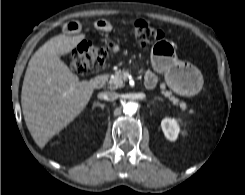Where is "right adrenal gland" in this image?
Here are the masks:
<instances>
[{
    "label": "right adrenal gland",
    "instance_id": "2a0ac1e0",
    "mask_svg": "<svg viewBox=\"0 0 245 195\" xmlns=\"http://www.w3.org/2000/svg\"><path fill=\"white\" fill-rule=\"evenodd\" d=\"M94 105H95V107L99 106L101 109H103L105 106L104 104H101L99 102L95 103Z\"/></svg>",
    "mask_w": 245,
    "mask_h": 195
}]
</instances>
